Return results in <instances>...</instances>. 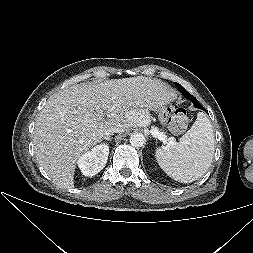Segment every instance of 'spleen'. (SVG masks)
<instances>
[{
	"label": "spleen",
	"mask_w": 253,
	"mask_h": 253,
	"mask_svg": "<svg viewBox=\"0 0 253 253\" xmlns=\"http://www.w3.org/2000/svg\"><path fill=\"white\" fill-rule=\"evenodd\" d=\"M214 155V135L210 120L199 112L192 127L179 142L156 149V160L167 175L181 183L202 177Z\"/></svg>",
	"instance_id": "spleen-1"
}]
</instances>
